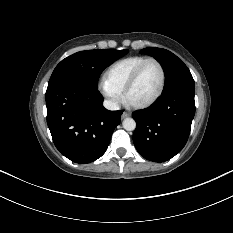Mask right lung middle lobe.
I'll return each instance as SVG.
<instances>
[{"instance_id":"right-lung-middle-lobe-1","label":"right lung middle lobe","mask_w":233,"mask_h":233,"mask_svg":"<svg viewBox=\"0 0 233 233\" xmlns=\"http://www.w3.org/2000/svg\"><path fill=\"white\" fill-rule=\"evenodd\" d=\"M128 50L104 49L80 51L63 59L54 69L49 84L72 81L98 87L102 71Z\"/></svg>"}]
</instances>
